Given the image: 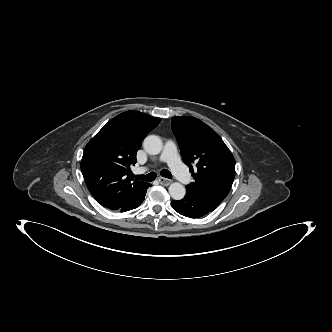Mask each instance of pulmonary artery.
Masks as SVG:
<instances>
[{
	"instance_id": "pulmonary-artery-1",
	"label": "pulmonary artery",
	"mask_w": 332,
	"mask_h": 332,
	"mask_svg": "<svg viewBox=\"0 0 332 332\" xmlns=\"http://www.w3.org/2000/svg\"><path fill=\"white\" fill-rule=\"evenodd\" d=\"M159 160L166 162L181 182L188 183L190 181V175L185 166L179 160L176 145L173 141L169 140L166 142ZM145 170L146 168H141L139 169V172H144Z\"/></svg>"
}]
</instances>
